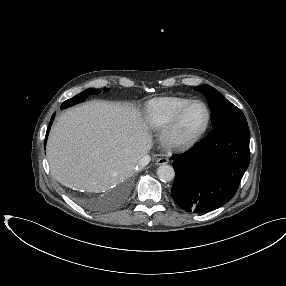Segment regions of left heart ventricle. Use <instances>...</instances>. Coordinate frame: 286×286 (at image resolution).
Instances as JSON below:
<instances>
[{"label": "left heart ventricle", "instance_id": "b2bd125f", "mask_svg": "<svg viewBox=\"0 0 286 286\" xmlns=\"http://www.w3.org/2000/svg\"><path fill=\"white\" fill-rule=\"evenodd\" d=\"M206 120V110L201 104L192 106L185 115L178 131L179 138L188 137L199 131Z\"/></svg>", "mask_w": 286, "mask_h": 286}]
</instances>
